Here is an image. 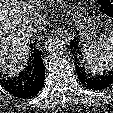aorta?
<instances>
[{
	"mask_svg": "<svg viewBox=\"0 0 113 113\" xmlns=\"http://www.w3.org/2000/svg\"><path fill=\"white\" fill-rule=\"evenodd\" d=\"M46 49L54 54H62L67 50V41L64 38H50L46 41Z\"/></svg>",
	"mask_w": 113,
	"mask_h": 113,
	"instance_id": "762f6f07",
	"label": "aorta"
}]
</instances>
